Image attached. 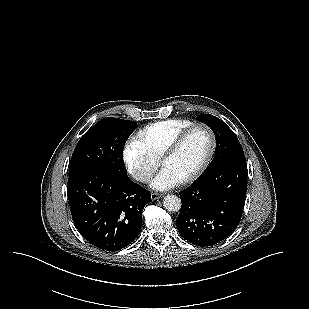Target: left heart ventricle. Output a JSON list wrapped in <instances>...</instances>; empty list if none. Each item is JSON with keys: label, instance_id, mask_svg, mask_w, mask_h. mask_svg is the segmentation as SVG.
I'll return each instance as SVG.
<instances>
[{"label": "left heart ventricle", "instance_id": "b2bd125f", "mask_svg": "<svg viewBox=\"0 0 309 309\" xmlns=\"http://www.w3.org/2000/svg\"><path fill=\"white\" fill-rule=\"evenodd\" d=\"M209 148L210 139L207 131L195 128L188 134L178 151L164 162L163 168H168L182 180L202 164Z\"/></svg>", "mask_w": 309, "mask_h": 309}]
</instances>
